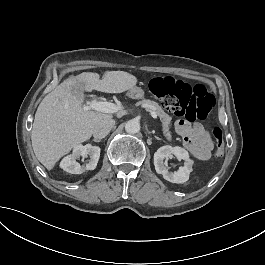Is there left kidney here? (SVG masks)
Wrapping results in <instances>:
<instances>
[{
    "label": "left kidney",
    "mask_w": 265,
    "mask_h": 265,
    "mask_svg": "<svg viewBox=\"0 0 265 265\" xmlns=\"http://www.w3.org/2000/svg\"><path fill=\"white\" fill-rule=\"evenodd\" d=\"M174 155L177 159H183L185 166L180 167L177 172H169V168L163 164V159ZM154 166L157 173L163 178L172 183H182L189 179V173L192 169V162L188 157V152L181 147L162 146L154 153Z\"/></svg>",
    "instance_id": "5707ae66"
}]
</instances>
